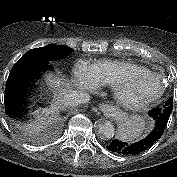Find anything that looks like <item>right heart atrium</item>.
<instances>
[{
    "label": "right heart atrium",
    "instance_id": "right-heart-atrium-1",
    "mask_svg": "<svg viewBox=\"0 0 177 177\" xmlns=\"http://www.w3.org/2000/svg\"><path fill=\"white\" fill-rule=\"evenodd\" d=\"M73 75L77 85L87 89L97 87L95 68L84 60H78L73 67Z\"/></svg>",
    "mask_w": 177,
    "mask_h": 177
}]
</instances>
